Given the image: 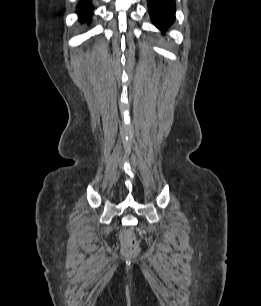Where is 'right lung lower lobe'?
Here are the masks:
<instances>
[{"label": "right lung lower lobe", "mask_w": 261, "mask_h": 306, "mask_svg": "<svg viewBox=\"0 0 261 306\" xmlns=\"http://www.w3.org/2000/svg\"><path fill=\"white\" fill-rule=\"evenodd\" d=\"M85 4V7L83 6ZM94 7L91 5L90 0H82L77 6V13L80 19L88 21L92 15Z\"/></svg>", "instance_id": "obj_1"}]
</instances>
